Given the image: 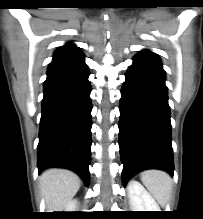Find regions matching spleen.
Instances as JSON below:
<instances>
[{
  "label": "spleen",
  "instance_id": "3e777b00",
  "mask_svg": "<svg viewBox=\"0 0 203 219\" xmlns=\"http://www.w3.org/2000/svg\"><path fill=\"white\" fill-rule=\"evenodd\" d=\"M141 181L161 206L167 204L172 190V180L167 173L147 170L141 174Z\"/></svg>",
  "mask_w": 203,
  "mask_h": 219
}]
</instances>
